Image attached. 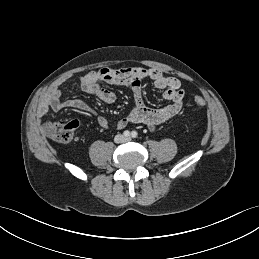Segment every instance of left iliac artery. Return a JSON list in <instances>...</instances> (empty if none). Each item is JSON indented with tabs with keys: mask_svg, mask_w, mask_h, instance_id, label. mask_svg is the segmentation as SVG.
<instances>
[{
	"mask_svg": "<svg viewBox=\"0 0 259 259\" xmlns=\"http://www.w3.org/2000/svg\"><path fill=\"white\" fill-rule=\"evenodd\" d=\"M131 136H132L133 138H136V137L138 136V133H137L136 131H132V132H131Z\"/></svg>",
	"mask_w": 259,
	"mask_h": 259,
	"instance_id": "44dca946",
	"label": "left iliac artery"
}]
</instances>
